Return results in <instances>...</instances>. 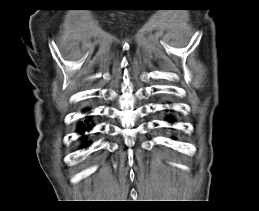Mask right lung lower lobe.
<instances>
[{"instance_id":"98d812e1","label":"right lung lower lobe","mask_w":259,"mask_h":211,"mask_svg":"<svg viewBox=\"0 0 259 211\" xmlns=\"http://www.w3.org/2000/svg\"><path fill=\"white\" fill-rule=\"evenodd\" d=\"M89 128H90V127H89ZM85 130H86V126H85L83 123H81V124L79 125V127H78V131L81 132V133H83ZM86 144H87V143H85L84 146H85Z\"/></svg>"}]
</instances>
